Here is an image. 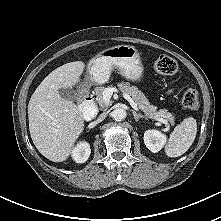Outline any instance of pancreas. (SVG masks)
<instances>
[{
  "mask_svg": "<svg viewBox=\"0 0 221 221\" xmlns=\"http://www.w3.org/2000/svg\"><path fill=\"white\" fill-rule=\"evenodd\" d=\"M117 86L122 92H125L131 96L138 108L143 111L147 117H163L168 119L171 124H174V116L171 113L167 112L166 109H160L157 111L156 107L149 103L143 92H141L137 87L131 86L128 83L124 82L118 83ZM107 88L110 87L100 86L95 88L96 101L102 108H105L110 104V101L107 103L103 99V93Z\"/></svg>",
  "mask_w": 221,
  "mask_h": 221,
  "instance_id": "cf45deb5",
  "label": "pancreas"
}]
</instances>
